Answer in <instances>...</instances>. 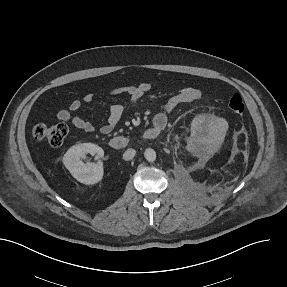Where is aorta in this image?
Here are the masks:
<instances>
[{"label": "aorta", "instance_id": "762f6f07", "mask_svg": "<svg viewBox=\"0 0 287 287\" xmlns=\"http://www.w3.org/2000/svg\"><path fill=\"white\" fill-rule=\"evenodd\" d=\"M144 157L147 161L154 162L156 160V152L153 149L148 148L144 152Z\"/></svg>", "mask_w": 287, "mask_h": 287}]
</instances>
